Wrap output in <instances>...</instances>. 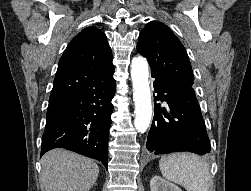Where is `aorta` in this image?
I'll use <instances>...</instances> for the list:
<instances>
[{
  "label": "aorta",
  "mask_w": 251,
  "mask_h": 191,
  "mask_svg": "<svg viewBox=\"0 0 251 191\" xmlns=\"http://www.w3.org/2000/svg\"><path fill=\"white\" fill-rule=\"evenodd\" d=\"M131 78L133 84V97L135 101L134 125L137 131L144 133L150 125L152 117V103L148 82V64L142 56L133 58L131 64Z\"/></svg>",
  "instance_id": "762f6f07"
}]
</instances>
